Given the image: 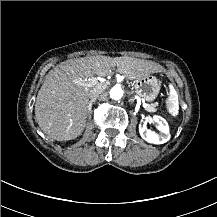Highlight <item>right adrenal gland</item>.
Returning <instances> with one entry per match:
<instances>
[{"label": "right adrenal gland", "mask_w": 217, "mask_h": 217, "mask_svg": "<svg viewBox=\"0 0 217 217\" xmlns=\"http://www.w3.org/2000/svg\"><path fill=\"white\" fill-rule=\"evenodd\" d=\"M96 99H92L88 102V110H91L93 103H95Z\"/></svg>", "instance_id": "1"}]
</instances>
